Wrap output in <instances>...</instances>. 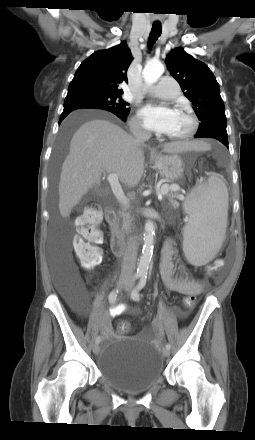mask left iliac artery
Here are the masks:
<instances>
[{
    "label": "left iliac artery",
    "instance_id": "left-iliac-artery-1",
    "mask_svg": "<svg viewBox=\"0 0 255 440\" xmlns=\"http://www.w3.org/2000/svg\"><path fill=\"white\" fill-rule=\"evenodd\" d=\"M146 279H147L146 275L141 276L139 283L137 284V286L135 287V289L131 293V297L133 300H135V301L140 300L139 292L144 288V286L146 284ZM166 348L170 349L171 345L169 343H166Z\"/></svg>",
    "mask_w": 255,
    "mask_h": 440
}]
</instances>
